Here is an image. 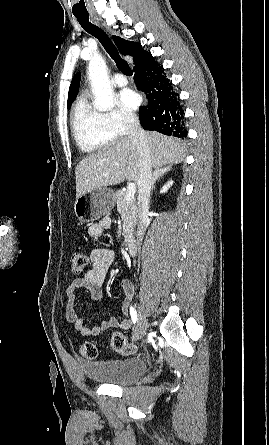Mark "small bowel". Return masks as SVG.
I'll return each instance as SVG.
<instances>
[{
    "label": "small bowel",
    "mask_w": 269,
    "mask_h": 445,
    "mask_svg": "<svg viewBox=\"0 0 269 445\" xmlns=\"http://www.w3.org/2000/svg\"><path fill=\"white\" fill-rule=\"evenodd\" d=\"M109 223V220L105 218L91 225L89 227V235L94 238L101 237L105 229H107L109 226ZM114 258V252L108 248L93 249L89 255L91 268L87 270L82 277L73 279L66 289L67 321L71 323L83 337H94L110 328L127 329L130 327L128 310L133 297L134 288L131 282L126 279L121 281V287L125 295V299L122 303V313L124 316L122 320L112 317L103 320L100 325L90 328L85 324V321L79 314L75 304V292L79 289L86 290L91 299L96 300L100 297L101 287L105 281L109 268L114 261Z\"/></svg>",
    "instance_id": "c3829d8e"
}]
</instances>
